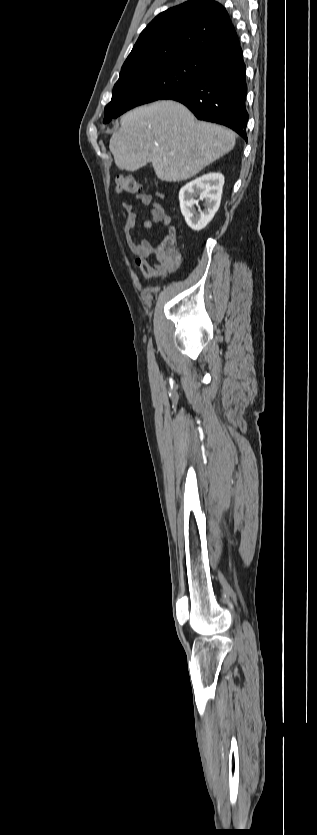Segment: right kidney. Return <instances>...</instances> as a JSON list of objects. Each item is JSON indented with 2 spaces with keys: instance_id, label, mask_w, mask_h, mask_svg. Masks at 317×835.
<instances>
[{
  "instance_id": "obj_1",
  "label": "right kidney",
  "mask_w": 317,
  "mask_h": 835,
  "mask_svg": "<svg viewBox=\"0 0 317 835\" xmlns=\"http://www.w3.org/2000/svg\"><path fill=\"white\" fill-rule=\"evenodd\" d=\"M224 185L221 173H207L184 185L179 192L181 213L187 225L195 231L202 230L214 217L219 209ZM205 200V208L197 213L194 205H198L195 198Z\"/></svg>"
}]
</instances>
